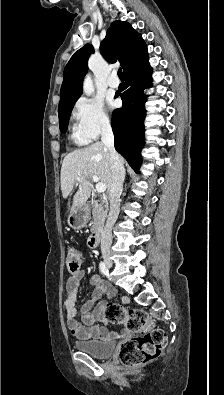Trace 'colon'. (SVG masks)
Segmentation results:
<instances>
[{
	"label": "colon",
	"instance_id": "5ec220e1",
	"mask_svg": "<svg viewBox=\"0 0 224 395\" xmlns=\"http://www.w3.org/2000/svg\"><path fill=\"white\" fill-rule=\"evenodd\" d=\"M82 260V254L77 249L71 248L67 251L66 262L70 272H78ZM105 317L111 323L123 325L129 332L136 334L123 342L118 349V358L123 364L141 366L160 356L166 344V334L148 319L144 311L108 303L105 307Z\"/></svg>",
	"mask_w": 224,
	"mask_h": 395
}]
</instances>
